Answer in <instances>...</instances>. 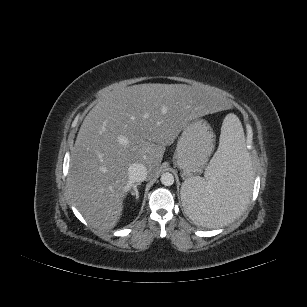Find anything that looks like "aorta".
Segmentation results:
<instances>
[{"label":"aorta","mask_w":307,"mask_h":307,"mask_svg":"<svg viewBox=\"0 0 307 307\" xmlns=\"http://www.w3.org/2000/svg\"><path fill=\"white\" fill-rule=\"evenodd\" d=\"M161 183L165 186H171L174 183V176L169 172H165L161 175Z\"/></svg>","instance_id":"aorta-1"}]
</instances>
